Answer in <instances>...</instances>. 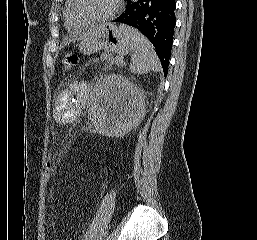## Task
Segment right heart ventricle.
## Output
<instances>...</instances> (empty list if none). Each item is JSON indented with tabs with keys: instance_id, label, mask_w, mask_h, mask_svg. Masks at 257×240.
Here are the masks:
<instances>
[{
	"instance_id": "right-heart-ventricle-1",
	"label": "right heart ventricle",
	"mask_w": 257,
	"mask_h": 240,
	"mask_svg": "<svg viewBox=\"0 0 257 240\" xmlns=\"http://www.w3.org/2000/svg\"><path fill=\"white\" fill-rule=\"evenodd\" d=\"M63 17H64V26H65L66 30L70 33H78L88 27L87 24L79 22L74 17V15L72 13V1L71 0H66V2H65Z\"/></svg>"
}]
</instances>
